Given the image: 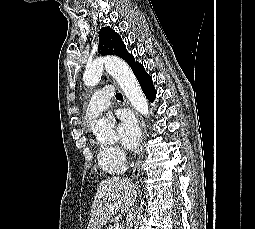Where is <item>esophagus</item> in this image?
<instances>
[{
  "label": "esophagus",
  "mask_w": 255,
  "mask_h": 229,
  "mask_svg": "<svg viewBox=\"0 0 255 229\" xmlns=\"http://www.w3.org/2000/svg\"><path fill=\"white\" fill-rule=\"evenodd\" d=\"M124 103H125L126 106L131 107L129 101L125 97H124ZM133 111H134V114L137 118V122H138L139 128L141 130V134H142V136H141V145H140V148H139L138 158H137L135 167H134L133 172H132V178L137 179L139 177V174H140L141 164H142L143 156H144V143H145V140H146V130H145V124H144L143 118L138 114V112H136L135 110H133Z\"/></svg>",
  "instance_id": "obj_1"
}]
</instances>
